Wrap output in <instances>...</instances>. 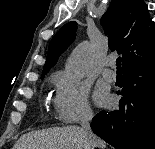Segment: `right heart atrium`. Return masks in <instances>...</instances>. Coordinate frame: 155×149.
<instances>
[{"instance_id":"right-heart-atrium-1","label":"right heart atrium","mask_w":155,"mask_h":149,"mask_svg":"<svg viewBox=\"0 0 155 149\" xmlns=\"http://www.w3.org/2000/svg\"><path fill=\"white\" fill-rule=\"evenodd\" d=\"M54 83L56 86L54 108L61 123L86 122L93 117L86 85L70 78L64 72L55 74Z\"/></svg>"}]
</instances>
